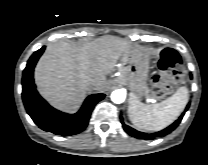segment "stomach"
Returning <instances> with one entry per match:
<instances>
[{"label":"stomach","mask_w":208,"mask_h":165,"mask_svg":"<svg viewBox=\"0 0 208 165\" xmlns=\"http://www.w3.org/2000/svg\"><path fill=\"white\" fill-rule=\"evenodd\" d=\"M129 66L115 80V84L126 85L131 94L137 98L147 95L149 88L147 85L149 58L140 50L132 53L127 60Z\"/></svg>","instance_id":"obj_1"}]
</instances>
